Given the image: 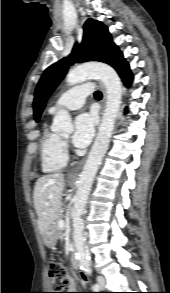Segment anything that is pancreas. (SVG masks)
Returning a JSON list of instances; mask_svg holds the SVG:
<instances>
[{
	"label": "pancreas",
	"mask_w": 170,
	"mask_h": 293,
	"mask_svg": "<svg viewBox=\"0 0 170 293\" xmlns=\"http://www.w3.org/2000/svg\"><path fill=\"white\" fill-rule=\"evenodd\" d=\"M63 218V214L60 212L55 221L53 222V224L51 225V231L55 234V235H58L59 234V231H60V228L58 226V221L61 220Z\"/></svg>",
	"instance_id": "obj_1"
}]
</instances>
